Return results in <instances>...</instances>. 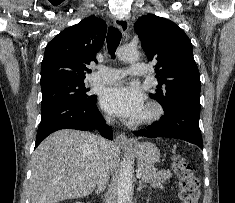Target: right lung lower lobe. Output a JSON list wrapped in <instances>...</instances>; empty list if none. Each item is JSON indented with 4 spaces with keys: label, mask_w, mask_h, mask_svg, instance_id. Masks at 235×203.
I'll use <instances>...</instances> for the list:
<instances>
[{
    "label": "right lung lower lobe",
    "mask_w": 235,
    "mask_h": 203,
    "mask_svg": "<svg viewBox=\"0 0 235 203\" xmlns=\"http://www.w3.org/2000/svg\"><path fill=\"white\" fill-rule=\"evenodd\" d=\"M96 96L88 101L64 100L41 109L42 117L38 127L35 148L49 134L60 129L93 130L113 140L112 128L105 124L96 106Z\"/></svg>",
    "instance_id": "obj_1"
}]
</instances>
